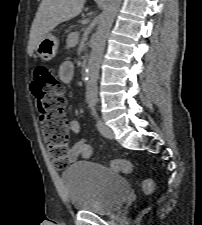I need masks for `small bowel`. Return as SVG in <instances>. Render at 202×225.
Segmentation results:
<instances>
[{"label":"small bowel","mask_w":202,"mask_h":225,"mask_svg":"<svg viewBox=\"0 0 202 225\" xmlns=\"http://www.w3.org/2000/svg\"><path fill=\"white\" fill-rule=\"evenodd\" d=\"M58 75L61 81L70 83L75 76V66L71 61H66L61 64L58 70ZM69 131L78 134L81 131V123L77 118L68 119ZM92 157L91 143L85 138L78 139L69 149L64 158L65 163L71 164L79 159H89ZM63 167V165H59Z\"/></svg>","instance_id":"obj_1"}]
</instances>
